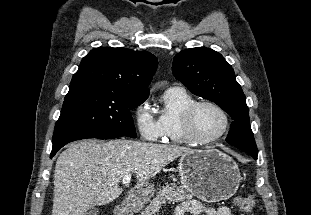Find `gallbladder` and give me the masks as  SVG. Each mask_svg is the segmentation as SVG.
<instances>
[{
    "label": "gallbladder",
    "instance_id": "gallbladder-1",
    "mask_svg": "<svg viewBox=\"0 0 311 215\" xmlns=\"http://www.w3.org/2000/svg\"><path fill=\"white\" fill-rule=\"evenodd\" d=\"M97 213L98 209L95 207H91L84 213V215H97Z\"/></svg>",
    "mask_w": 311,
    "mask_h": 215
}]
</instances>
